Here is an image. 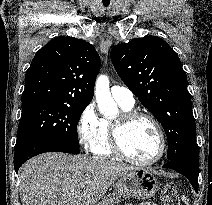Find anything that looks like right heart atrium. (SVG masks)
<instances>
[{"label":"right heart atrium","mask_w":212,"mask_h":205,"mask_svg":"<svg viewBox=\"0 0 212 205\" xmlns=\"http://www.w3.org/2000/svg\"><path fill=\"white\" fill-rule=\"evenodd\" d=\"M101 119L98 117L93 103L88 104L79 115L76 124V136L80 145L90 149L96 142L100 132Z\"/></svg>","instance_id":"d8ad5b80"}]
</instances>
